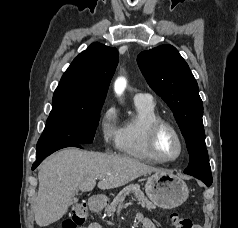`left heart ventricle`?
Wrapping results in <instances>:
<instances>
[{
  "instance_id": "1",
  "label": "left heart ventricle",
  "mask_w": 238,
  "mask_h": 228,
  "mask_svg": "<svg viewBox=\"0 0 238 228\" xmlns=\"http://www.w3.org/2000/svg\"><path fill=\"white\" fill-rule=\"evenodd\" d=\"M157 147L159 153L165 158H173L178 154L179 151L176 140L167 130L163 131L160 134L157 142Z\"/></svg>"
}]
</instances>
